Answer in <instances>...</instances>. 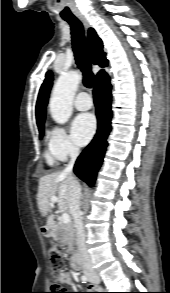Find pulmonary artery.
I'll use <instances>...</instances> for the list:
<instances>
[{"mask_svg": "<svg viewBox=\"0 0 170 293\" xmlns=\"http://www.w3.org/2000/svg\"><path fill=\"white\" fill-rule=\"evenodd\" d=\"M93 105L92 99L86 92H80L74 100V106L76 109L85 111L89 110Z\"/></svg>", "mask_w": 170, "mask_h": 293, "instance_id": "1", "label": "pulmonary artery"}]
</instances>
